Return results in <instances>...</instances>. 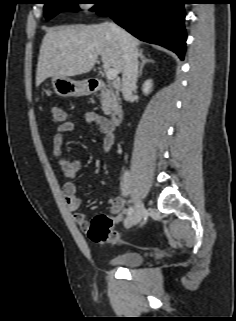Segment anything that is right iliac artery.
<instances>
[{
	"label": "right iliac artery",
	"instance_id": "right-iliac-artery-1",
	"mask_svg": "<svg viewBox=\"0 0 236 321\" xmlns=\"http://www.w3.org/2000/svg\"><path fill=\"white\" fill-rule=\"evenodd\" d=\"M132 213H133V207H130V208L128 209L127 214L130 216Z\"/></svg>",
	"mask_w": 236,
	"mask_h": 321
}]
</instances>
